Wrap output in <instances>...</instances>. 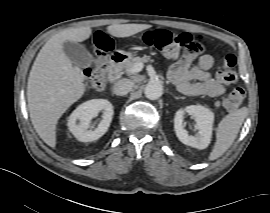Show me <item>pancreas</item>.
<instances>
[{"instance_id":"obj_1","label":"pancreas","mask_w":270,"mask_h":213,"mask_svg":"<svg viewBox=\"0 0 270 213\" xmlns=\"http://www.w3.org/2000/svg\"><path fill=\"white\" fill-rule=\"evenodd\" d=\"M153 60L150 58V56H144V57H133L129 60H127L125 63H123L120 67V70L131 73V69L133 66L137 63H148L152 62Z\"/></svg>"}]
</instances>
